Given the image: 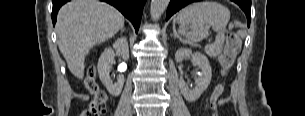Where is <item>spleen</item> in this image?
Here are the masks:
<instances>
[{"label":"spleen","instance_id":"3e777b00","mask_svg":"<svg viewBox=\"0 0 305 116\" xmlns=\"http://www.w3.org/2000/svg\"><path fill=\"white\" fill-rule=\"evenodd\" d=\"M230 20V11L223 5L213 1L196 2L182 9L176 17L179 24L180 40L189 45H196L208 36V28L221 35ZM222 46L219 37L214 48Z\"/></svg>","mask_w":305,"mask_h":116}]
</instances>
